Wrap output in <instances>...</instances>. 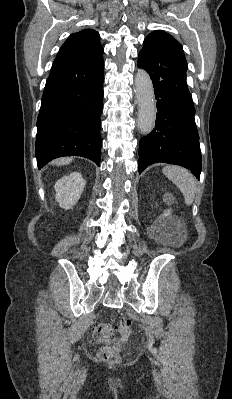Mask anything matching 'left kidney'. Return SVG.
Masks as SVG:
<instances>
[{"label": "left kidney", "mask_w": 232, "mask_h": 399, "mask_svg": "<svg viewBox=\"0 0 232 399\" xmlns=\"http://www.w3.org/2000/svg\"><path fill=\"white\" fill-rule=\"evenodd\" d=\"M172 209H165L164 213H161L160 217H157L152 227L153 235H159V237H168L169 233L172 235H181L186 231V225L179 217H172Z\"/></svg>", "instance_id": "obj_1"}]
</instances>
